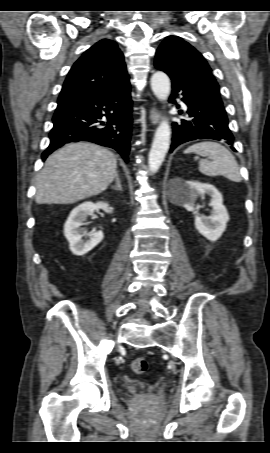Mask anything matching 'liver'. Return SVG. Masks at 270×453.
Returning <instances> with one entry per match:
<instances>
[{
    "mask_svg": "<svg viewBox=\"0 0 270 453\" xmlns=\"http://www.w3.org/2000/svg\"><path fill=\"white\" fill-rule=\"evenodd\" d=\"M117 160L108 149L70 143L51 154L36 178L37 204H73L97 195L115 178Z\"/></svg>",
    "mask_w": 270,
    "mask_h": 453,
    "instance_id": "obj_1",
    "label": "liver"
}]
</instances>
